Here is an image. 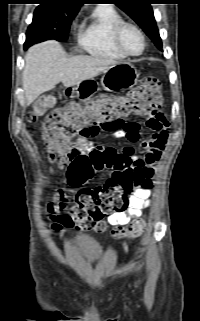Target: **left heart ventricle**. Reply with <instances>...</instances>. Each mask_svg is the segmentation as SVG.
Masks as SVG:
<instances>
[{"mask_svg": "<svg viewBox=\"0 0 200 321\" xmlns=\"http://www.w3.org/2000/svg\"><path fill=\"white\" fill-rule=\"evenodd\" d=\"M122 44L131 53H138L142 49V40L132 28H126L122 34Z\"/></svg>", "mask_w": 200, "mask_h": 321, "instance_id": "b2bd125f", "label": "left heart ventricle"}]
</instances>
